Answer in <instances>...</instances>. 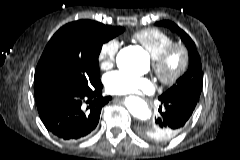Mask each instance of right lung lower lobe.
Segmentation results:
<instances>
[{"label":"right lung lower lobe","mask_w":240,"mask_h":160,"mask_svg":"<svg viewBox=\"0 0 240 160\" xmlns=\"http://www.w3.org/2000/svg\"><path fill=\"white\" fill-rule=\"evenodd\" d=\"M102 88L100 81L88 90L51 86L35 93L38 113L47 130L64 140L90 134L99 122L102 107L111 100L102 96Z\"/></svg>","instance_id":"obj_1"}]
</instances>
